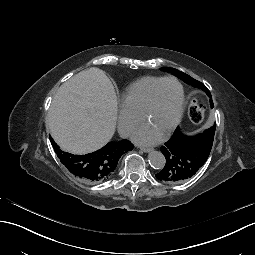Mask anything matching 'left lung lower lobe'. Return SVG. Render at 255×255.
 Segmentation results:
<instances>
[{"mask_svg": "<svg viewBox=\"0 0 255 255\" xmlns=\"http://www.w3.org/2000/svg\"><path fill=\"white\" fill-rule=\"evenodd\" d=\"M202 137L196 134L192 141H182L177 134H172L169 141L158 146V151H162L166 158L155 178L164 183H180L195 176L210 156L204 149Z\"/></svg>", "mask_w": 255, "mask_h": 255, "instance_id": "0a47b994", "label": "left lung lower lobe"}]
</instances>
